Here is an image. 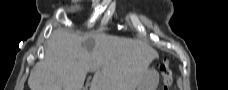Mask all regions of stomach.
Returning a JSON list of instances; mask_svg holds the SVG:
<instances>
[{"label": "stomach", "instance_id": "1", "mask_svg": "<svg viewBox=\"0 0 228 90\" xmlns=\"http://www.w3.org/2000/svg\"><path fill=\"white\" fill-rule=\"evenodd\" d=\"M158 72L155 69H149L144 80L139 84L137 90H154L158 83Z\"/></svg>", "mask_w": 228, "mask_h": 90}]
</instances>
